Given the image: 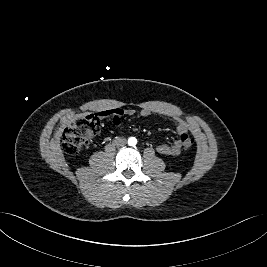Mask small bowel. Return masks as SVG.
I'll return each instance as SVG.
<instances>
[{
  "label": "small bowel",
  "mask_w": 267,
  "mask_h": 267,
  "mask_svg": "<svg viewBox=\"0 0 267 267\" xmlns=\"http://www.w3.org/2000/svg\"><path fill=\"white\" fill-rule=\"evenodd\" d=\"M135 113L136 111L134 109H126V110L114 109V110L99 112V114H101L102 116H111L113 119V123L116 126H120L121 124L120 117L122 115L132 116ZM152 114H154V111L150 109H146V108L140 110L139 112V115L141 117H149ZM175 129H176V132L181 136L183 134H187L188 125L186 124V122H184L181 119H175ZM181 149H182V142L180 138L170 144L162 143L157 146V151L160 154L168 155V156L178 155L181 152Z\"/></svg>",
  "instance_id": "obj_1"
}]
</instances>
